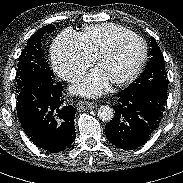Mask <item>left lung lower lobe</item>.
Instances as JSON below:
<instances>
[{"instance_id":"left-lung-lower-lobe-1","label":"left lung lower lobe","mask_w":183,"mask_h":183,"mask_svg":"<svg viewBox=\"0 0 183 183\" xmlns=\"http://www.w3.org/2000/svg\"><path fill=\"white\" fill-rule=\"evenodd\" d=\"M117 97L115 116L106 125L105 134L116 147L133 150L146 143L159 127L165 103L131 94L127 89L119 92Z\"/></svg>"}]
</instances>
